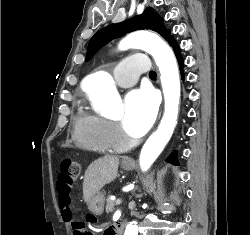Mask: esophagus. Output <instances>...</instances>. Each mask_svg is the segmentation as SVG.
<instances>
[{"mask_svg":"<svg viewBox=\"0 0 250 235\" xmlns=\"http://www.w3.org/2000/svg\"><path fill=\"white\" fill-rule=\"evenodd\" d=\"M160 114H161V113H160ZM122 162H123V163H133L134 161H133V159L130 158V157H125V158H123Z\"/></svg>","mask_w":250,"mask_h":235,"instance_id":"esophagus-1","label":"esophagus"}]
</instances>
